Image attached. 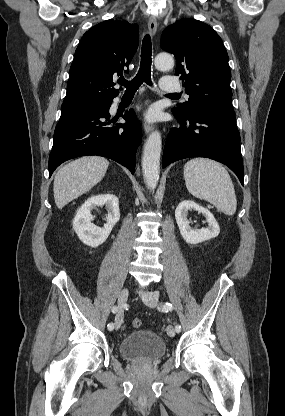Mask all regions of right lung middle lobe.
<instances>
[{
    "label": "right lung middle lobe",
    "mask_w": 285,
    "mask_h": 416,
    "mask_svg": "<svg viewBox=\"0 0 285 416\" xmlns=\"http://www.w3.org/2000/svg\"><path fill=\"white\" fill-rule=\"evenodd\" d=\"M111 102H76V103H63L62 114H69L74 112H81L87 110L103 109L109 107Z\"/></svg>",
    "instance_id": "obj_1"
}]
</instances>
